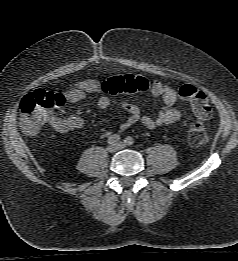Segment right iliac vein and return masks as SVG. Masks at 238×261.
I'll return each mask as SVG.
<instances>
[{
	"label": "right iliac vein",
	"mask_w": 238,
	"mask_h": 261,
	"mask_svg": "<svg viewBox=\"0 0 238 261\" xmlns=\"http://www.w3.org/2000/svg\"><path fill=\"white\" fill-rule=\"evenodd\" d=\"M107 150L111 153H114L118 150V146L117 145H110V146H108Z\"/></svg>",
	"instance_id": "63e3f726"
}]
</instances>
